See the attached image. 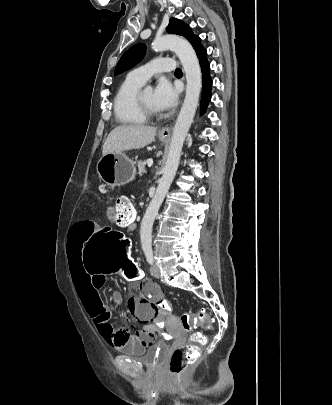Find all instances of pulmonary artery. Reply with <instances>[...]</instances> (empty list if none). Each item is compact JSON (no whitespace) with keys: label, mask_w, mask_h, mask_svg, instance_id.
I'll list each match as a JSON object with an SVG mask.
<instances>
[{"label":"pulmonary artery","mask_w":332,"mask_h":405,"mask_svg":"<svg viewBox=\"0 0 332 405\" xmlns=\"http://www.w3.org/2000/svg\"><path fill=\"white\" fill-rule=\"evenodd\" d=\"M174 70V61L171 58L159 57L151 62L132 70L128 77L144 84L152 75L160 72Z\"/></svg>","instance_id":"e3ab8cb5"}]
</instances>
